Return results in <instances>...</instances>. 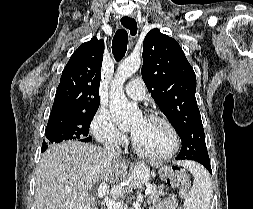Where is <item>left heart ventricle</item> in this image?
Segmentation results:
<instances>
[{
    "label": "left heart ventricle",
    "instance_id": "b2bd125f",
    "mask_svg": "<svg viewBox=\"0 0 253 209\" xmlns=\"http://www.w3.org/2000/svg\"><path fill=\"white\" fill-rule=\"evenodd\" d=\"M131 131L138 145L147 153L163 155L172 148V134L159 120L139 117L132 124Z\"/></svg>",
    "mask_w": 253,
    "mask_h": 209
}]
</instances>
